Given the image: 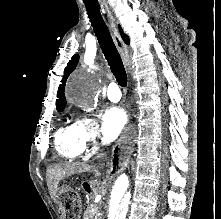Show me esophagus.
<instances>
[{"label":"esophagus","mask_w":221,"mask_h":219,"mask_svg":"<svg viewBox=\"0 0 221 219\" xmlns=\"http://www.w3.org/2000/svg\"><path fill=\"white\" fill-rule=\"evenodd\" d=\"M105 8L107 9V20L110 24L111 30H112V35H113V39L115 42V45L118 49V51L120 52L124 64L127 66L128 63V55H127V48L125 43L123 42L120 34L118 33L117 27H116V23L115 20L112 16V14L110 13V11L108 10L107 6H105Z\"/></svg>","instance_id":"esophagus-1"}]
</instances>
